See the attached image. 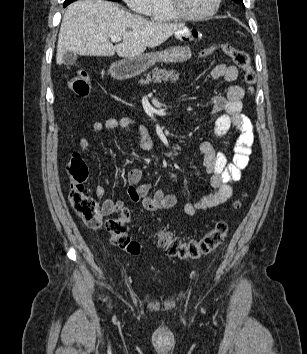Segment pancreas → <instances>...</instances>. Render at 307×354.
Wrapping results in <instances>:
<instances>
[{
  "mask_svg": "<svg viewBox=\"0 0 307 354\" xmlns=\"http://www.w3.org/2000/svg\"><path fill=\"white\" fill-rule=\"evenodd\" d=\"M145 76V79L140 80L141 84H147L151 81H164L165 83L170 81L171 83H174L179 79V73H176L175 70L167 71L166 69H159L157 67L154 68L151 73H148Z\"/></svg>",
  "mask_w": 307,
  "mask_h": 354,
  "instance_id": "cf45deb5",
  "label": "pancreas"
}]
</instances>
